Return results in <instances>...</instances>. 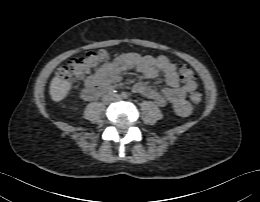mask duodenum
Segmentation results:
<instances>
[{
  "label": "duodenum",
  "mask_w": 260,
  "mask_h": 202,
  "mask_svg": "<svg viewBox=\"0 0 260 202\" xmlns=\"http://www.w3.org/2000/svg\"><path fill=\"white\" fill-rule=\"evenodd\" d=\"M109 89H110V85H101L97 87H85L81 92V97L84 100H92Z\"/></svg>",
  "instance_id": "obj_1"
}]
</instances>
